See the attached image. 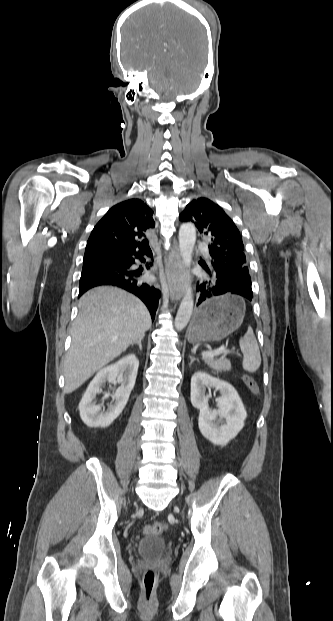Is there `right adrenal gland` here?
Returning <instances> with one entry per match:
<instances>
[{"mask_svg": "<svg viewBox=\"0 0 333 621\" xmlns=\"http://www.w3.org/2000/svg\"><path fill=\"white\" fill-rule=\"evenodd\" d=\"M143 338H144V335H143V336H141V337H140L137 341L133 342V343H132V346H134L135 344H137V345L139 346V349L142 351V343H141V342H142Z\"/></svg>", "mask_w": 333, "mask_h": 621, "instance_id": "2a0ac1e0", "label": "right adrenal gland"}]
</instances>
